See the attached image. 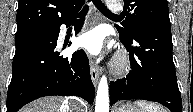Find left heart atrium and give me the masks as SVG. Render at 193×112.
Instances as JSON below:
<instances>
[{"label":"left heart atrium","mask_w":193,"mask_h":112,"mask_svg":"<svg viewBox=\"0 0 193 112\" xmlns=\"http://www.w3.org/2000/svg\"><path fill=\"white\" fill-rule=\"evenodd\" d=\"M104 31L97 27L81 33L77 45L91 55H98L104 47Z\"/></svg>","instance_id":"left-heart-atrium-1"}]
</instances>
